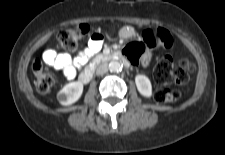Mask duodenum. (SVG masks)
I'll return each instance as SVG.
<instances>
[{
	"label": "duodenum",
	"instance_id": "410a0bca",
	"mask_svg": "<svg viewBox=\"0 0 225 155\" xmlns=\"http://www.w3.org/2000/svg\"><path fill=\"white\" fill-rule=\"evenodd\" d=\"M110 61H121L125 65L129 66L128 61L126 60V58H124L122 56V53H120V52H111V53H107V54H102V55L98 56L80 74V77H79L80 81L82 83H88L92 79L96 67H98L99 65H101L103 63L110 62Z\"/></svg>",
	"mask_w": 225,
	"mask_h": 155
}]
</instances>
